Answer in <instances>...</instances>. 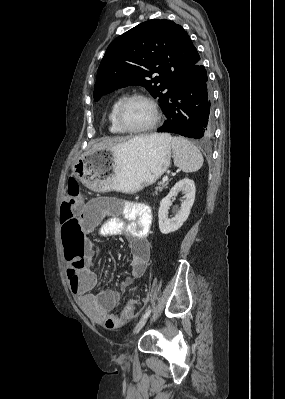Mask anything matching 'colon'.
<instances>
[{
    "label": "colon",
    "instance_id": "1",
    "mask_svg": "<svg viewBox=\"0 0 285 399\" xmlns=\"http://www.w3.org/2000/svg\"><path fill=\"white\" fill-rule=\"evenodd\" d=\"M80 187L78 182L71 178L67 185V194L61 205V224L63 227V240L67 246V273L69 276H77L85 267L87 254L77 240L79 223L75 215V209L81 204L79 199ZM131 312V306L127 305L121 318L127 317Z\"/></svg>",
    "mask_w": 285,
    "mask_h": 399
}]
</instances>
